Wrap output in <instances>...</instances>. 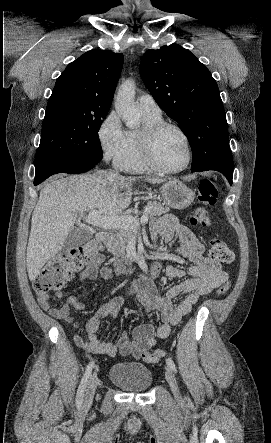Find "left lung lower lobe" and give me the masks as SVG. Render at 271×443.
<instances>
[{
	"label": "left lung lower lobe",
	"instance_id": "0a47b994",
	"mask_svg": "<svg viewBox=\"0 0 271 443\" xmlns=\"http://www.w3.org/2000/svg\"><path fill=\"white\" fill-rule=\"evenodd\" d=\"M207 170H210V169L205 168V169L195 170V171H192V172H200V171H207ZM231 184H232V181H231Z\"/></svg>",
	"mask_w": 271,
	"mask_h": 443
}]
</instances>
